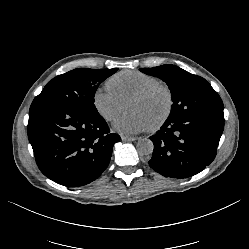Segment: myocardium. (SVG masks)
<instances>
[{
  "label": "myocardium",
  "instance_id": "f54148a6",
  "mask_svg": "<svg viewBox=\"0 0 249 249\" xmlns=\"http://www.w3.org/2000/svg\"><path fill=\"white\" fill-rule=\"evenodd\" d=\"M156 92H161L165 96L166 109L162 117L154 125L149 127V131L151 132H156L161 129L170 119L175 106L174 95L172 90L166 84L155 83L147 86L143 90L137 92L136 94L130 97V101L142 100L152 96Z\"/></svg>",
  "mask_w": 249,
  "mask_h": 249
}]
</instances>
